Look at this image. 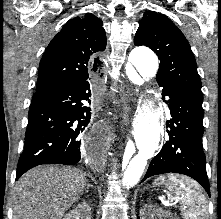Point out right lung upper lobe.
<instances>
[{"instance_id":"obj_1","label":"right lung upper lobe","mask_w":221,"mask_h":219,"mask_svg":"<svg viewBox=\"0 0 221 219\" xmlns=\"http://www.w3.org/2000/svg\"><path fill=\"white\" fill-rule=\"evenodd\" d=\"M102 20L88 13L68 21L40 61L36 92L88 80L100 72L96 55L106 47Z\"/></svg>"}]
</instances>
